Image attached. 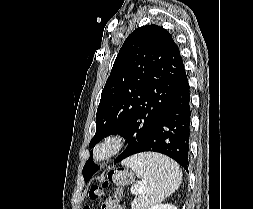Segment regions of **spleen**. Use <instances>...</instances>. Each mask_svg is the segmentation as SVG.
Wrapping results in <instances>:
<instances>
[{
	"label": "spleen",
	"mask_w": 253,
	"mask_h": 209,
	"mask_svg": "<svg viewBox=\"0 0 253 209\" xmlns=\"http://www.w3.org/2000/svg\"><path fill=\"white\" fill-rule=\"evenodd\" d=\"M142 179L143 192L132 202V209H148L162 202L177 190L182 182L180 167L158 153H141L122 162Z\"/></svg>",
	"instance_id": "3e777b00"
}]
</instances>
